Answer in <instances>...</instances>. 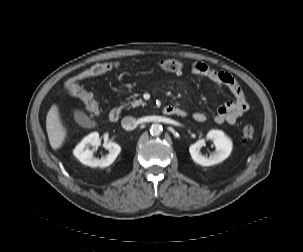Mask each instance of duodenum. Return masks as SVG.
Here are the masks:
<instances>
[{
	"label": "duodenum",
	"instance_id": "obj_1",
	"mask_svg": "<svg viewBox=\"0 0 303 252\" xmlns=\"http://www.w3.org/2000/svg\"><path fill=\"white\" fill-rule=\"evenodd\" d=\"M163 112L169 115H174V114L182 115V111L178 107L172 105L164 107ZM120 115H121V108L113 107L109 112V120L111 122H116L119 119Z\"/></svg>",
	"mask_w": 303,
	"mask_h": 252
}]
</instances>
